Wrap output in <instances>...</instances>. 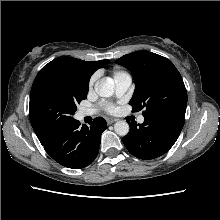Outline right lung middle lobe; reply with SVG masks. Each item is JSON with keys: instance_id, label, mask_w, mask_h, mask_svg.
I'll use <instances>...</instances> for the list:
<instances>
[{"instance_id": "right-lung-middle-lobe-1", "label": "right lung middle lobe", "mask_w": 220, "mask_h": 220, "mask_svg": "<svg viewBox=\"0 0 220 220\" xmlns=\"http://www.w3.org/2000/svg\"><path fill=\"white\" fill-rule=\"evenodd\" d=\"M88 80L65 70H40L30 92L29 116L38 136L52 137L72 123L88 93Z\"/></svg>"}]
</instances>
